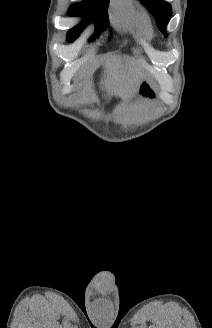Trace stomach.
Returning <instances> with one entry per match:
<instances>
[{"instance_id": "1", "label": "stomach", "mask_w": 212, "mask_h": 328, "mask_svg": "<svg viewBox=\"0 0 212 328\" xmlns=\"http://www.w3.org/2000/svg\"><path fill=\"white\" fill-rule=\"evenodd\" d=\"M140 92L143 95L150 96L151 98L154 96L153 91L151 90V88L148 85V83L145 82V81L140 84Z\"/></svg>"}]
</instances>
